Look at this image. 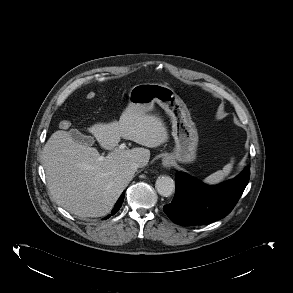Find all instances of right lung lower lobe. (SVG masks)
<instances>
[{"label":"right lung lower lobe","instance_id":"98d812e1","mask_svg":"<svg viewBox=\"0 0 293 293\" xmlns=\"http://www.w3.org/2000/svg\"><path fill=\"white\" fill-rule=\"evenodd\" d=\"M124 197H125V194L122 193L121 197L118 199L117 203L115 204V206H114V208H113V210L111 212V215H114L120 209V207L122 206V202L124 200ZM111 215H108L104 219L109 218Z\"/></svg>","mask_w":293,"mask_h":293}]
</instances>
